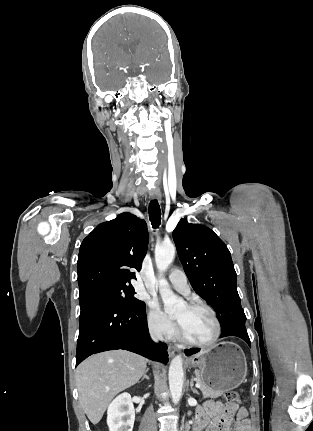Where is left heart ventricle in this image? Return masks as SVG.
<instances>
[{"instance_id": "left-heart-ventricle-1", "label": "left heart ventricle", "mask_w": 313, "mask_h": 431, "mask_svg": "<svg viewBox=\"0 0 313 431\" xmlns=\"http://www.w3.org/2000/svg\"><path fill=\"white\" fill-rule=\"evenodd\" d=\"M173 318L183 334L194 342H208L215 334V323L211 315L203 309H189L182 305L174 312Z\"/></svg>"}]
</instances>
